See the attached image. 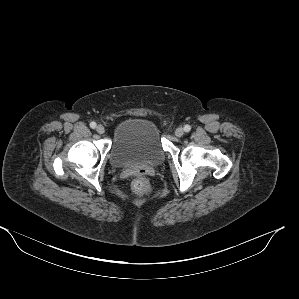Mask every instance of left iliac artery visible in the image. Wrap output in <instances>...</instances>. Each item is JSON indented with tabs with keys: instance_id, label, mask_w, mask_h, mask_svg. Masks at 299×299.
<instances>
[{
	"instance_id": "obj_1",
	"label": "left iliac artery",
	"mask_w": 299,
	"mask_h": 299,
	"mask_svg": "<svg viewBox=\"0 0 299 299\" xmlns=\"http://www.w3.org/2000/svg\"><path fill=\"white\" fill-rule=\"evenodd\" d=\"M184 130L185 132H189L191 130V127L189 125H185Z\"/></svg>"
}]
</instances>
